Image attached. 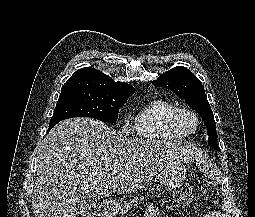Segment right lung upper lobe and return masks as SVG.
<instances>
[{
  "label": "right lung upper lobe",
  "instance_id": "right-lung-upper-lobe-1",
  "mask_svg": "<svg viewBox=\"0 0 255 217\" xmlns=\"http://www.w3.org/2000/svg\"><path fill=\"white\" fill-rule=\"evenodd\" d=\"M88 90L103 93H131L135 89L125 82H115L111 77L96 69L85 67L77 70L71 78L62 86L64 90Z\"/></svg>",
  "mask_w": 255,
  "mask_h": 217
}]
</instances>
